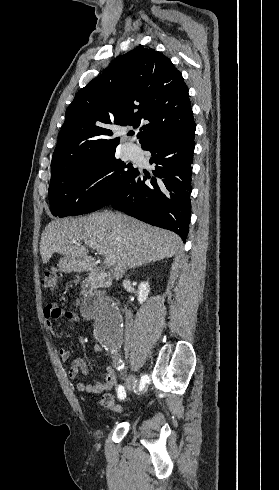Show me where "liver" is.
<instances>
[{"mask_svg":"<svg viewBox=\"0 0 279 490\" xmlns=\"http://www.w3.org/2000/svg\"><path fill=\"white\" fill-rule=\"evenodd\" d=\"M85 242L100 246L103 254H114L116 278H123L128 268L172 258L183 248L177 234L153 228L139 220L119 214L101 212L84 218H65L50 222L41 234L40 254L43 264L58 252L84 264L89 250ZM84 266H81V272Z\"/></svg>","mask_w":279,"mask_h":490,"instance_id":"1","label":"liver"}]
</instances>
